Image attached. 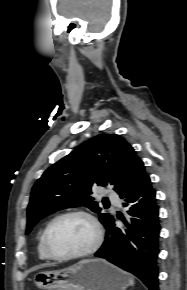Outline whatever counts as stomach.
<instances>
[{"label": "stomach", "instance_id": "0dacf381", "mask_svg": "<svg viewBox=\"0 0 187 290\" xmlns=\"http://www.w3.org/2000/svg\"><path fill=\"white\" fill-rule=\"evenodd\" d=\"M130 280L127 273L104 259H86L34 276V283L41 290H126Z\"/></svg>", "mask_w": 187, "mask_h": 290}]
</instances>
